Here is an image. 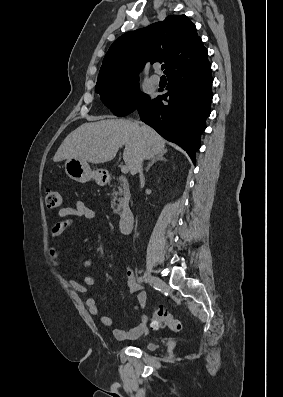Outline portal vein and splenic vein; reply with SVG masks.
<instances>
[{"label": "portal vein and splenic vein", "mask_w": 283, "mask_h": 397, "mask_svg": "<svg viewBox=\"0 0 283 397\" xmlns=\"http://www.w3.org/2000/svg\"><path fill=\"white\" fill-rule=\"evenodd\" d=\"M128 171H129V168H128V166H127V165H123V166H121V172H122L123 174H126V173H128Z\"/></svg>", "instance_id": "1"}]
</instances>
